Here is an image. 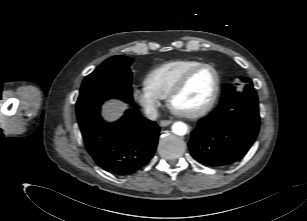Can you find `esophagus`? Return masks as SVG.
<instances>
[{
    "instance_id": "1",
    "label": "esophagus",
    "mask_w": 307,
    "mask_h": 221,
    "mask_svg": "<svg viewBox=\"0 0 307 221\" xmlns=\"http://www.w3.org/2000/svg\"><path fill=\"white\" fill-rule=\"evenodd\" d=\"M173 122H174L173 120H161L160 121V126L166 127V126L172 124Z\"/></svg>"
}]
</instances>
